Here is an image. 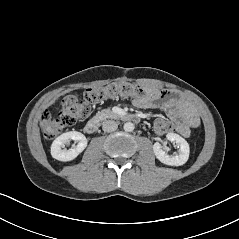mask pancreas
Masks as SVG:
<instances>
[{"label":"pancreas","instance_id":"pancreas-1","mask_svg":"<svg viewBox=\"0 0 239 239\" xmlns=\"http://www.w3.org/2000/svg\"><path fill=\"white\" fill-rule=\"evenodd\" d=\"M116 115L110 109H103L95 116L98 120H105L106 118H114Z\"/></svg>","mask_w":239,"mask_h":239}]
</instances>
